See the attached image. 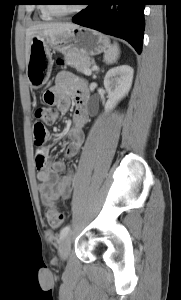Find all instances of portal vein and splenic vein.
Segmentation results:
<instances>
[{"label": "portal vein and splenic vein", "instance_id": "1", "mask_svg": "<svg viewBox=\"0 0 181 300\" xmlns=\"http://www.w3.org/2000/svg\"><path fill=\"white\" fill-rule=\"evenodd\" d=\"M84 74L89 76L92 74V71L89 68L85 69Z\"/></svg>", "mask_w": 181, "mask_h": 300}]
</instances>
